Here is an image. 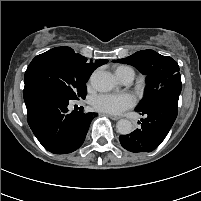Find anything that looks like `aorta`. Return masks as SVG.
Returning <instances> with one entry per match:
<instances>
[{
  "mask_svg": "<svg viewBox=\"0 0 201 201\" xmlns=\"http://www.w3.org/2000/svg\"><path fill=\"white\" fill-rule=\"evenodd\" d=\"M92 87L98 92H108L115 87L114 77L106 71L96 70L90 77ZM117 131L122 135L130 134L133 131L131 121L127 119H121L116 124Z\"/></svg>",
  "mask_w": 201,
  "mask_h": 201,
  "instance_id": "obj_1",
  "label": "aorta"
}]
</instances>
